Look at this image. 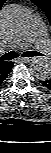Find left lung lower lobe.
<instances>
[{"instance_id":"obj_1","label":"left lung lower lobe","mask_w":51,"mask_h":153,"mask_svg":"<svg viewBox=\"0 0 51 153\" xmlns=\"http://www.w3.org/2000/svg\"><path fill=\"white\" fill-rule=\"evenodd\" d=\"M41 82H42V84H43L45 87H47L48 89L51 90V79H49V80H44V81H41Z\"/></svg>"}]
</instances>
